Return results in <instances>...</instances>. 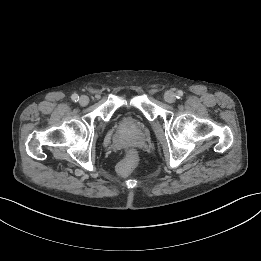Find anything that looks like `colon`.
<instances>
[{
	"instance_id": "colon-1",
	"label": "colon",
	"mask_w": 261,
	"mask_h": 261,
	"mask_svg": "<svg viewBox=\"0 0 261 261\" xmlns=\"http://www.w3.org/2000/svg\"><path fill=\"white\" fill-rule=\"evenodd\" d=\"M136 157L137 153L135 150L131 149L127 152L125 158L117 168V171L121 176H127L131 172L136 161Z\"/></svg>"
}]
</instances>
